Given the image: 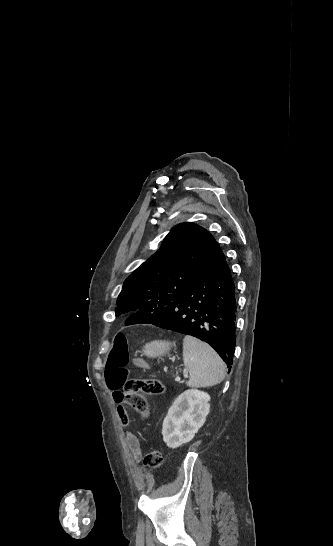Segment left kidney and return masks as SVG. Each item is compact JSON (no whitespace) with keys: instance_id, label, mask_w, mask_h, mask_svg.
Returning <instances> with one entry per match:
<instances>
[{"instance_id":"1","label":"left kidney","mask_w":333,"mask_h":546,"mask_svg":"<svg viewBox=\"0 0 333 546\" xmlns=\"http://www.w3.org/2000/svg\"><path fill=\"white\" fill-rule=\"evenodd\" d=\"M210 396L197 389L181 393L163 421L162 435L166 445L176 449L188 443L203 426L209 414Z\"/></svg>"}]
</instances>
